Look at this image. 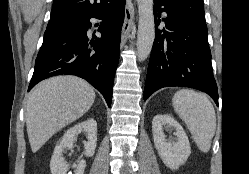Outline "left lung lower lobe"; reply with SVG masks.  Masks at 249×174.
<instances>
[{
    "label": "left lung lower lobe",
    "instance_id": "1",
    "mask_svg": "<svg viewBox=\"0 0 249 174\" xmlns=\"http://www.w3.org/2000/svg\"><path fill=\"white\" fill-rule=\"evenodd\" d=\"M164 18L160 19L161 13ZM156 36L149 60L144 100L168 86L198 89L218 105L206 23L178 11L166 0H154ZM161 21L163 30L157 29Z\"/></svg>",
    "mask_w": 249,
    "mask_h": 174
}]
</instances>
